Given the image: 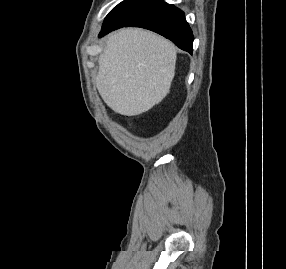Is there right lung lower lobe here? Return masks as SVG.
I'll return each instance as SVG.
<instances>
[{"instance_id":"98d812e1","label":"right lung lower lobe","mask_w":286,"mask_h":269,"mask_svg":"<svg viewBox=\"0 0 286 269\" xmlns=\"http://www.w3.org/2000/svg\"><path fill=\"white\" fill-rule=\"evenodd\" d=\"M123 27H142L159 33L170 39L180 49L189 53L193 51V34L184 13L173 5L160 2L158 5L137 16ZM118 29V28H116ZM113 29L101 30L102 37Z\"/></svg>"}]
</instances>
